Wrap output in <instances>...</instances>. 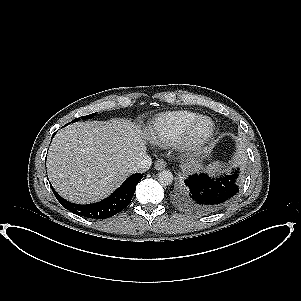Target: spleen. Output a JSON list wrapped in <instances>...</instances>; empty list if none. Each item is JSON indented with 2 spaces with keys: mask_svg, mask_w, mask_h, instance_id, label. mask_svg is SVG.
Here are the masks:
<instances>
[{
  "mask_svg": "<svg viewBox=\"0 0 301 301\" xmlns=\"http://www.w3.org/2000/svg\"><path fill=\"white\" fill-rule=\"evenodd\" d=\"M222 167L223 165L219 161H215L212 164H209V166L207 167V171L210 174H214L215 172L221 170Z\"/></svg>",
  "mask_w": 301,
  "mask_h": 301,
  "instance_id": "spleen-1",
  "label": "spleen"
}]
</instances>
